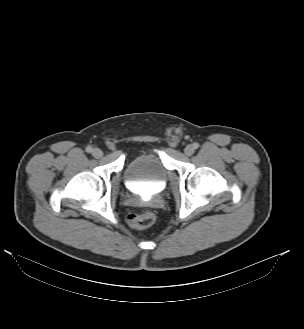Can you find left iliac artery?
Listing matches in <instances>:
<instances>
[{
  "label": "left iliac artery",
  "instance_id": "left-iliac-artery-1",
  "mask_svg": "<svg viewBox=\"0 0 304 329\" xmlns=\"http://www.w3.org/2000/svg\"><path fill=\"white\" fill-rule=\"evenodd\" d=\"M193 147H194V149H198L199 148V144L198 143H194L193 144Z\"/></svg>",
  "mask_w": 304,
  "mask_h": 329
}]
</instances>
